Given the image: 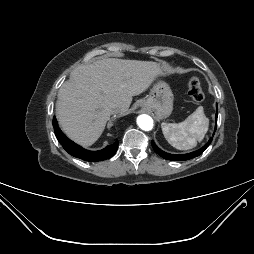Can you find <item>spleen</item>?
I'll return each mask as SVG.
<instances>
[{
    "label": "spleen",
    "mask_w": 254,
    "mask_h": 254,
    "mask_svg": "<svg viewBox=\"0 0 254 254\" xmlns=\"http://www.w3.org/2000/svg\"><path fill=\"white\" fill-rule=\"evenodd\" d=\"M208 126L209 119L205 116L202 106H199L183 122L161 124L165 139L178 150L195 147L203 140Z\"/></svg>",
    "instance_id": "1"
}]
</instances>
